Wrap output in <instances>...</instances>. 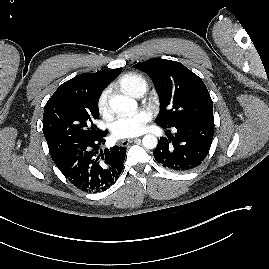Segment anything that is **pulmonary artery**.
<instances>
[{
    "label": "pulmonary artery",
    "mask_w": 269,
    "mask_h": 269,
    "mask_svg": "<svg viewBox=\"0 0 269 269\" xmlns=\"http://www.w3.org/2000/svg\"><path fill=\"white\" fill-rule=\"evenodd\" d=\"M144 92H145V91H140V92L136 95V97L141 96Z\"/></svg>",
    "instance_id": "obj_1"
}]
</instances>
